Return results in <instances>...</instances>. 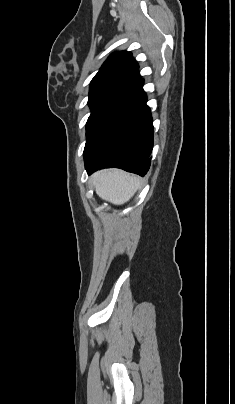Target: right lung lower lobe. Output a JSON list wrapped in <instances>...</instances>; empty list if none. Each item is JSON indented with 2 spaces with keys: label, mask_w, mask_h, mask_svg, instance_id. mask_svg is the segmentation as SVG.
Wrapping results in <instances>:
<instances>
[{
  "label": "right lung lower lobe",
  "mask_w": 235,
  "mask_h": 404,
  "mask_svg": "<svg viewBox=\"0 0 235 404\" xmlns=\"http://www.w3.org/2000/svg\"><path fill=\"white\" fill-rule=\"evenodd\" d=\"M143 79L129 85L121 99L87 137L84 160L88 174L116 167L141 176L150 167L153 125Z\"/></svg>",
  "instance_id": "98d812e1"
}]
</instances>
